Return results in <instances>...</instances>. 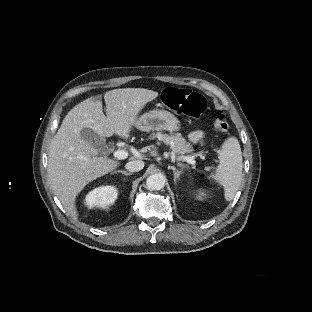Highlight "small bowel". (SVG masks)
Listing matches in <instances>:
<instances>
[{
	"instance_id": "c3829d8e",
	"label": "small bowel",
	"mask_w": 312,
	"mask_h": 312,
	"mask_svg": "<svg viewBox=\"0 0 312 312\" xmlns=\"http://www.w3.org/2000/svg\"><path fill=\"white\" fill-rule=\"evenodd\" d=\"M204 131L202 129H196L194 131H192L188 138L190 140V142L192 143H198L199 141H201L204 138Z\"/></svg>"
}]
</instances>
